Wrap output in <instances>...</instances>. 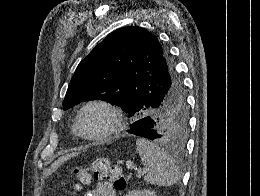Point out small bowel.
Returning a JSON list of instances; mask_svg holds the SVG:
<instances>
[{
  "instance_id": "1",
  "label": "small bowel",
  "mask_w": 260,
  "mask_h": 196,
  "mask_svg": "<svg viewBox=\"0 0 260 196\" xmlns=\"http://www.w3.org/2000/svg\"><path fill=\"white\" fill-rule=\"evenodd\" d=\"M85 196H117V194L110 182L101 181L96 186L88 189Z\"/></svg>"
}]
</instances>
